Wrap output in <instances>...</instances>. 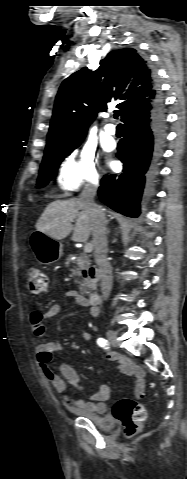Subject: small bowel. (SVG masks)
Masks as SVG:
<instances>
[{
  "label": "small bowel",
  "instance_id": "small-bowel-1",
  "mask_svg": "<svg viewBox=\"0 0 187 479\" xmlns=\"http://www.w3.org/2000/svg\"><path fill=\"white\" fill-rule=\"evenodd\" d=\"M65 297L79 306H89L88 300L77 291H67ZM62 308V304L56 303L51 305L45 311H34L31 313L30 323L32 333L36 339L42 338L45 321L56 317L61 312ZM91 313L95 317L97 315V310L92 309ZM90 337L91 333L89 331H85L82 335L83 340H89ZM61 347V344L55 342L38 345L37 359L44 377L58 393L62 394V402L68 410H82L89 413L104 414L107 411L106 401L110 396V389L107 385H101L88 399L76 398L66 393L67 384H70L79 390L82 388L79 385L80 377L71 365L62 363L59 367L60 374L51 369L53 357L61 350ZM106 355L108 359L119 363V370L122 373L131 375L135 378V394L139 398L143 397L145 395V374L143 369L134 365L131 361L122 356L113 353H107Z\"/></svg>",
  "mask_w": 187,
  "mask_h": 479
}]
</instances>
